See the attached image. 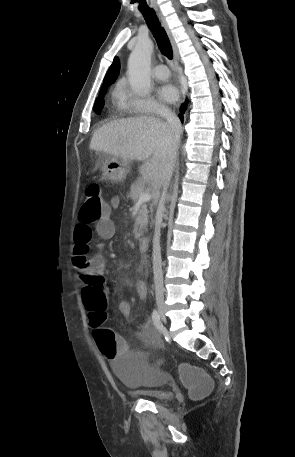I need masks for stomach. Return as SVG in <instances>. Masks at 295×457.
Here are the masks:
<instances>
[{
	"label": "stomach",
	"mask_w": 295,
	"mask_h": 457,
	"mask_svg": "<svg viewBox=\"0 0 295 457\" xmlns=\"http://www.w3.org/2000/svg\"><path fill=\"white\" fill-rule=\"evenodd\" d=\"M99 158L102 160L101 165L104 178L110 181L121 182L130 171L129 161L120 157L100 153Z\"/></svg>",
	"instance_id": "1"
}]
</instances>
